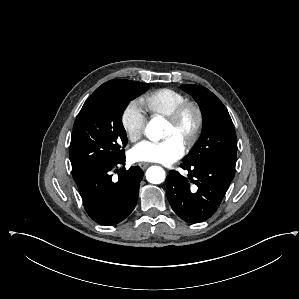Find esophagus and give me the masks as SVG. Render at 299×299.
<instances>
[{"label": "esophagus", "mask_w": 299, "mask_h": 299, "mask_svg": "<svg viewBox=\"0 0 299 299\" xmlns=\"http://www.w3.org/2000/svg\"><path fill=\"white\" fill-rule=\"evenodd\" d=\"M138 166H139L142 170H145V169L149 166V163L141 162V163H138Z\"/></svg>", "instance_id": "obj_1"}]
</instances>
